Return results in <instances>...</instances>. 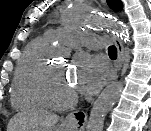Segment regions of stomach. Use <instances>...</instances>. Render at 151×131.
Returning <instances> with one entry per match:
<instances>
[{"label": "stomach", "instance_id": "stomach-1", "mask_svg": "<svg viewBox=\"0 0 151 131\" xmlns=\"http://www.w3.org/2000/svg\"><path fill=\"white\" fill-rule=\"evenodd\" d=\"M75 126L63 123L60 126L54 127L51 131H75Z\"/></svg>", "mask_w": 151, "mask_h": 131}]
</instances>
